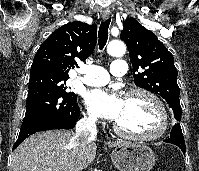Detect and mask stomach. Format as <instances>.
I'll return each instance as SVG.
<instances>
[{
	"label": "stomach",
	"instance_id": "0dacf381",
	"mask_svg": "<svg viewBox=\"0 0 199 171\" xmlns=\"http://www.w3.org/2000/svg\"><path fill=\"white\" fill-rule=\"evenodd\" d=\"M111 159L119 171H150L155 163V155L150 147L131 141H123L116 146Z\"/></svg>",
	"mask_w": 199,
	"mask_h": 171
}]
</instances>
